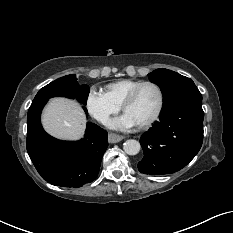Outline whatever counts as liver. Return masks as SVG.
Returning a JSON list of instances; mask_svg holds the SVG:
<instances>
[{"label":"liver","mask_w":233,"mask_h":233,"mask_svg":"<svg viewBox=\"0 0 233 233\" xmlns=\"http://www.w3.org/2000/svg\"><path fill=\"white\" fill-rule=\"evenodd\" d=\"M42 125L55 138L75 141L84 134L86 118L77 102L58 97L52 98L44 108Z\"/></svg>","instance_id":"obj_1"}]
</instances>
